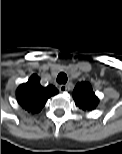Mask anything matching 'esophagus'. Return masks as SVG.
<instances>
[{"label":"esophagus","instance_id":"esophagus-1","mask_svg":"<svg viewBox=\"0 0 122 154\" xmlns=\"http://www.w3.org/2000/svg\"><path fill=\"white\" fill-rule=\"evenodd\" d=\"M59 90L61 92H66L68 90V87H67V85H60Z\"/></svg>","mask_w":122,"mask_h":154}]
</instances>
